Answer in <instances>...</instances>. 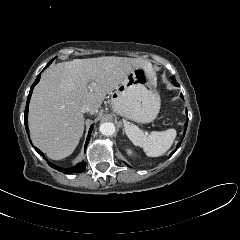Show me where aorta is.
Wrapping results in <instances>:
<instances>
[{
	"mask_svg": "<svg viewBox=\"0 0 240 240\" xmlns=\"http://www.w3.org/2000/svg\"><path fill=\"white\" fill-rule=\"evenodd\" d=\"M99 131L105 136H111L115 133V125L112 122H104L100 125Z\"/></svg>",
	"mask_w": 240,
	"mask_h": 240,
	"instance_id": "762f6f07",
	"label": "aorta"
}]
</instances>
